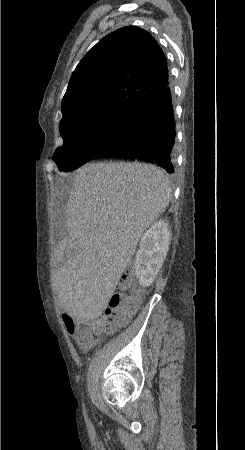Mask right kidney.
I'll list each match as a JSON object with an SVG mask.
<instances>
[{
    "mask_svg": "<svg viewBox=\"0 0 245 450\" xmlns=\"http://www.w3.org/2000/svg\"><path fill=\"white\" fill-rule=\"evenodd\" d=\"M170 233L168 224L159 220L142 236L135 258V275L143 287L150 286L166 258Z\"/></svg>",
    "mask_w": 245,
    "mask_h": 450,
    "instance_id": "1",
    "label": "right kidney"
}]
</instances>
